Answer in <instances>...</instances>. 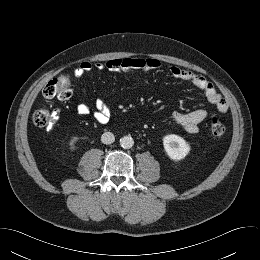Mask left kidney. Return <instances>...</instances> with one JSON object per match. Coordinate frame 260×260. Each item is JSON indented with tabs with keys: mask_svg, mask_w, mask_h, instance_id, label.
I'll return each mask as SVG.
<instances>
[{
	"mask_svg": "<svg viewBox=\"0 0 260 260\" xmlns=\"http://www.w3.org/2000/svg\"><path fill=\"white\" fill-rule=\"evenodd\" d=\"M163 146L169 158L175 161L184 159L190 152V145L175 134L166 135L163 138Z\"/></svg>",
	"mask_w": 260,
	"mask_h": 260,
	"instance_id": "obj_1",
	"label": "left kidney"
}]
</instances>
